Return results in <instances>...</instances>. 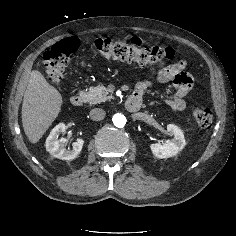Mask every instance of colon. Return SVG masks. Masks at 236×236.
<instances>
[{"instance_id":"1","label":"colon","mask_w":236,"mask_h":236,"mask_svg":"<svg viewBox=\"0 0 236 236\" xmlns=\"http://www.w3.org/2000/svg\"><path fill=\"white\" fill-rule=\"evenodd\" d=\"M78 46V40L70 37L54 44L44 53L45 74L51 84H59L63 80L70 55L78 49ZM94 47L105 58L134 62L143 67L172 60L175 57L172 48L143 45L139 41L124 42L98 38ZM193 118L203 129L212 127L213 114L207 107L195 108Z\"/></svg>"}]
</instances>
